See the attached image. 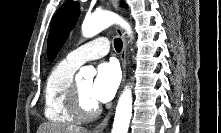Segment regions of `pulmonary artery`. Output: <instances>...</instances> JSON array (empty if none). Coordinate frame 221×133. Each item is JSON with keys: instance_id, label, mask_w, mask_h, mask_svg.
Listing matches in <instances>:
<instances>
[{"instance_id": "obj_1", "label": "pulmonary artery", "mask_w": 221, "mask_h": 133, "mask_svg": "<svg viewBox=\"0 0 221 133\" xmlns=\"http://www.w3.org/2000/svg\"><path fill=\"white\" fill-rule=\"evenodd\" d=\"M109 43L103 38L95 39L67 54L66 60L80 66L86 61L101 58L108 54Z\"/></svg>"}]
</instances>
